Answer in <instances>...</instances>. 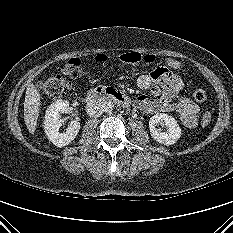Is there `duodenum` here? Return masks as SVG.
<instances>
[{
    "instance_id": "obj_1",
    "label": "duodenum",
    "mask_w": 233,
    "mask_h": 233,
    "mask_svg": "<svg viewBox=\"0 0 233 233\" xmlns=\"http://www.w3.org/2000/svg\"><path fill=\"white\" fill-rule=\"evenodd\" d=\"M86 100L89 103L106 100L114 101L124 107H128L132 104V100L128 95L120 90L106 86H98L89 90L86 94Z\"/></svg>"
}]
</instances>
